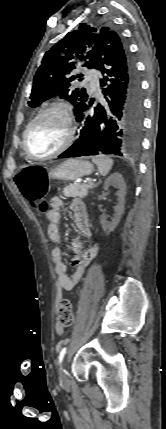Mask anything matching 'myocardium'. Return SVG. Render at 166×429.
<instances>
[{
    "instance_id": "f54148a6",
    "label": "myocardium",
    "mask_w": 166,
    "mask_h": 429,
    "mask_svg": "<svg viewBox=\"0 0 166 429\" xmlns=\"http://www.w3.org/2000/svg\"><path fill=\"white\" fill-rule=\"evenodd\" d=\"M51 112L58 113L63 117V119L65 121V126H66L65 140L62 143V145L57 150H55L54 152H52L46 156L38 157V156L33 155L28 148V136H29L31 129L35 125V123L40 118H42L43 116H45L46 114L51 113ZM74 133H75L74 119H73V114H72V110H71L70 106L67 103L61 102V101L53 102V103L47 105L46 107H44L43 109H41L37 113V115L30 121L28 126L26 127L25 132L23 134V143H22L23 144V150H24L26 156L31 160L46 161V160L55 158L58 155L62 154L64 151H66L71 146V144L73 142Z\"/></svg>"
}]
</instances>
